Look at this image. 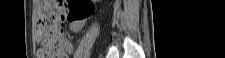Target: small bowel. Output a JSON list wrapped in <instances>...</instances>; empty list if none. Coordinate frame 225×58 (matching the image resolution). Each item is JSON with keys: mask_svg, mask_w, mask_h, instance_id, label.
<instances>
[{"mask_svg": "<svg viewBox=\"0 0 225 58\" xmlns=\"http://www.w3.org/2000/svg\"><path fill=\"white\" fill-rule=\"evenodd\" d=\"M83 26V20H80V21H71L70 22V30L73 31V32H78L81 30ZM63 48H64V51H65V57L64 58H68V54L72 52L73 50V47H72V44L69 42L68 39L64 38L61 42Z\"/></svg>", "mask_w": 225, "mask_h": 58, "instance_id": "obj_1", "label": "small bowel"}]
</instances>
